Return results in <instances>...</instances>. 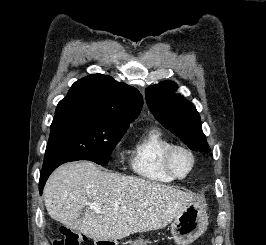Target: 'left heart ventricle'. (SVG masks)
Segmentation results:
<instances>
[{
    "instance_id": "obj_1",
    "label": "left heart ventricle",
    "mask_w": 266,
    "mask_h": 245,
    "mask_svg": "<svg viewBox=\"0 0 266 245\" xmlns=\"http://www.w3.org/2000/svg\"><path fill=\"white\" fill-rule=\"evenodd\" d=\"M192 165L190 156L184 151H177L173 157V166L179 176L186 175Z\"/></svg>"
}]
</instances>
